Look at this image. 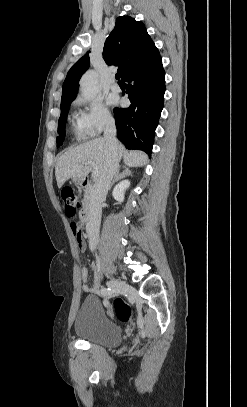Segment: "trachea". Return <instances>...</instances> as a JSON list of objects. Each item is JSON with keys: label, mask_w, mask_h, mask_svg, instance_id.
Segmentation results:
<instances>
[{"label": "trachea", "mask_w": 247, "mask_h": 407, "mask_svg": "<svg viewBox=\"0 0 247 407\" xmlns=\"http://www.w3.org/2000/svg\"><path fill=\"white\" fill-rule=\"evenodd\" d=\"M115 78L118 80V82H120V73H117V74L115 75Z\"/></svg>", "instance_id": "obj_1"}]
</instances>
